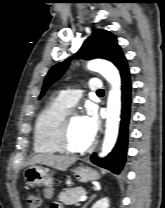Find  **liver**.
Segmentation results:
<instances>
[{"label":"liver","mask_w":165,"mask_h":208,"mask_svg":"<svg viewBox=\"0 0 165 208\" xmlns=\"http://www.w3.org/2000/svg\"><path fill=\"white\" fill-rule=\"evenodd\" d=\"M75 161V157L42 154L32 157L28 165L43 164L60 171H66Z\"/></svg>","instance_id":"1"}]
</instances>
